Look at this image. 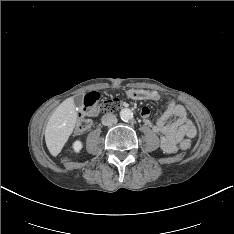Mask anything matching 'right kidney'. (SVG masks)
I'll list each match as a JSON object with an SVG mask.
<instances>
[{"label": "right kidney", "instance_id": "ca27d5eb", "mask_svg": "<svg viewBox=\"0 0 234 234\" xmlns=\"http://www.w3.org/2000/svg\"><path fill=\"white\" fill-rule=\"evenodd\" d=\"M83 148V143L80 140H76L72 144V149L75 153H79Z\"/></svg>", "mask_w": 234, "mask_h": 234}]
</instances>
